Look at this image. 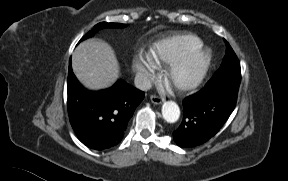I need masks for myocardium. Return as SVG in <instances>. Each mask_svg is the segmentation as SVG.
Instances as JSON below:
<instances>
[{
    "mask_svg": "<svg viewBox=\"0 0 288 181\" xmlns=\"http://www.w3.org/2000/svg\"><path fill=\"white\" fill-rule=\"evenodd\" d=\"M212 61V49L201 46L172 63L166 70V81L175 89L191 90L204 80Z\"/></svg>",
    "mask_w": 288,
    "mask_h": 181,
    "instance_id": "1",
    "label": "myocardium"
}]
</instances>
